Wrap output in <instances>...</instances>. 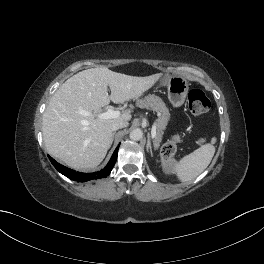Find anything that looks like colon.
<instances>
[{"label": "colon", "instance_id": "5ec220e1", "mask_svg": "<svg viewBox=\"0 0 264 264\" xmlns=\"http://www.w3.org/2000/svg\"><path fill=\"white\" fill-rule=\"evenodd\" d=\"M188 107L192 114L201 115L209 110L210 100L207 98L203 91L199 89H193L188 94ZM179 140V136L174 135L161 148V156L165 163L168 165L173 161V156L176 153ZM204 142L205 139L200 140V143Z\"/></svg>", "mask_w": 264, "mask_h": 264}]
</instances>
